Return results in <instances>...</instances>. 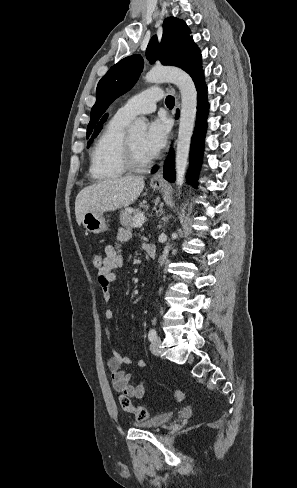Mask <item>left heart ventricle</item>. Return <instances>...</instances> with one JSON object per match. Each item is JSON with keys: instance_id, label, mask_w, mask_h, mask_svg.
<instances>
[{"instance_id": "left-heart-ventricle-1", "label": "left heart ventricle", "mask_w": 297, "mask_h": 488, "mask_svg": "<svg viewBox=\"0 0 297 488\" xmlns=\"http://www.w3.org/2000/svg\"><path fill=\"white\" fill-rule=\"evenodd\" d=\"M144 135H145L144 133H139V134L129 136L131 144L133 146L135 158L139 162H145L148 159H150L142 147V141Z\"/></svg>"}]
</instances>
